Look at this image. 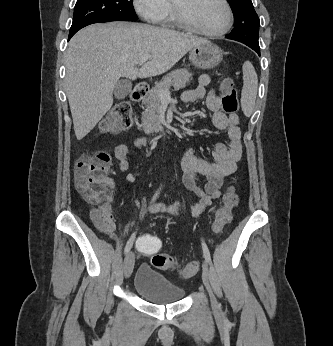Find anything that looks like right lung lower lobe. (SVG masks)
<instances>
[{"instance_id": "right-lung-lower-lobe-1", "label": "right lung lower lobe", "mask_w": 333, "mask_h": 346, "mask_svg": "<svg viewBox=\"0 0 333 346\" xmlns=\"http://www.w3.org/2000/svg\"><path fill=\"white\" fill-rule=\"evenodd\" d=\"M75 33H69V38L68 40L74 35Z\"/></svg>"}]
</instances>
